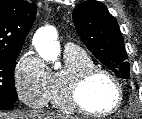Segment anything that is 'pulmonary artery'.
Here are the masks:
<instances>
[{
  "label": "pulmonary artery",
  "mask_w": 142,
  "mask_h": 119,
  "mask_svg": "<svg viewBox=\"0 0 142 119\" xmlns=\"http://www.w3.org/2000/svg\"><path fill=\"white\" fill-rule=\"evenodd\" d=\"M75 49H78L77 48V46L75 45V44H73V43H67L66 45H65V50L66 51H71V50H75Z\"/></svg>",
  "instance_id": "1"
}]
</instances>
